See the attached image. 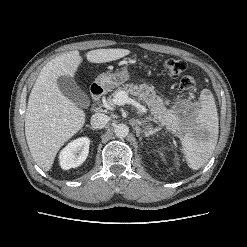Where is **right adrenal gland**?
Wrapping results in <instances>:
<instances>
[{"label":"right adrenal gland","mask_w":247,"mask_h":247,"mask_svg":"<svg viewBox=\"0 0 247 247\" xmlns=\"http://www.w3.org/2000/svg\"><path fill=\"white\" fill-rule=\"evenodd\" d=\"M86 127L90 128V129H92V130H95V128L92 127V126H90V125H87Z\"/></svg>","instance_id":"right-adrenal-gland-1"}]
</instances>
